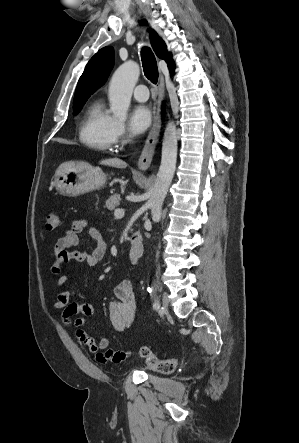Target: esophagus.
Listing matches in <instances>:
<instances>
[{
  "label": "esophagus",
  "instance_id": "obj_1",
  "mask_svg": "<svg viewBox=\"0 0 299 443\" xmlns=\"http://www.w3.org/2000/svg\"><path fill=\"white\" fill-rule=\"evenodd\" d=\"M163 95H164V83H163V78H161L159 85V97H158L159 106L163 99ZM159 106L154 115L150 132L148 134V137L145 141L143 150L138 160V168L141 171H146L150 167L155 152L156 144L158 142L160 125H161Z\"/></svg>",
  "mask_w": 299,
  "mask_h": 443
}]
</instances>
